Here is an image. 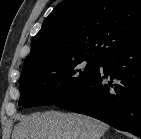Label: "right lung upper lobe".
<instances>
[{
  "label": "right lung upper lobe",
  "instance_id": "obj_1",
  "mask_svg": "<svg viewBox=\"0 0 141 139\" xmlns=\"http://www.w3.org/2000/svg\"><path fill=\"white\" fill-rule=\"evenodd\" d=\"M141 41V0H66L35 35L23 69L92 56Z\"/></svg>",
  "mask_w": 141,
  "mask_h": 139
}]
</instances>
